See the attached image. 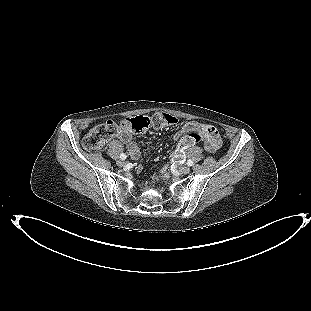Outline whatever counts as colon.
I'll use <instances>...</instances> for the list:
<instances>
[{"label": "colon", "instance_id": "5ec220e1", "mask_svg": "<svg viewBox=\"0 0 311 311\" xmlns=\"http://www.w3.org/2000/svg\"><path fill=\"white\" fill-rule=\"evenodd\" d=\"M178 123L176 117L168 113H156L151 118L145 116H136L132 118L123 119L119 124L113 121H108L97 125L87 132L83 138V146L90 151L101 150L106 143L117 136L122 129L128 132H143L150 125L156 127L174 126ZM199 140V136L194 133L181 141V147H187Z\"/></svg>", "mask_w": 311, "mask_h": 311}]
</instances>
